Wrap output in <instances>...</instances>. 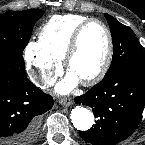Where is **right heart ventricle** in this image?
<instances>
[{"label":"right heart ventricle","mask_w":145,"mask_h":145,"mask_svg":"<svg viewBox=\"0 0 145 145\" xmlns=\"http://www.w3.org/2000/svg\"><path fill=\"white\" fill-rule=\"evenodd\" d=\"M88 18L78 14L51 17L39 32V45L53 57L62 60L75 29Z\"/></svg>","instance_id":"right-heart-ventricle-1"}]
</instances>
